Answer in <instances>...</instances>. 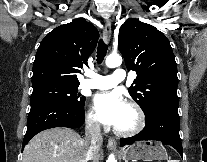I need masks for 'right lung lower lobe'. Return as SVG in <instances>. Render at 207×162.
I'll return each instance as SVG.
<instances>
[{"label": "right lung lower lobe", "instance_id": "obj_1", "mask_svg": "<svg viewBox=\"0 0 207 162\" xmlns=\"http://www.w3.org/2000/svg\"><path fill=\"white\" fill-rule=\"evenodd\" d=\"M84 120V106L72 107L50 98L31 101L22 149L33 136L43 130L54 127L78 129Z\"/></svg>", "mask_w": 207, "mask_h": 162}]
</instances>
